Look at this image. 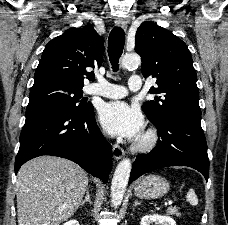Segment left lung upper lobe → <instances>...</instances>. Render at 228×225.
Instances as JSON below:
<instances>
[{
  "label": "left lung upper lobe",
  "instance_id": "5c2ea615",
  "mask_svg": "<svg viewBox=\"0 0 228 225\" xmlns=\"http://www.w3.org/2000/svg\"><path fill=\"white\" fill-rule=\"evenodd\" d=\"M135 51L142 58L145 78H156L150 93L159 94L155 100L142 105L148 119L158 124L172 115L201 118L196 72L187 45L171 31L146 21L137 29Z\"/></svg>",
  "mask_w": 228,
  "mask_h": 225
}]
</instances>
